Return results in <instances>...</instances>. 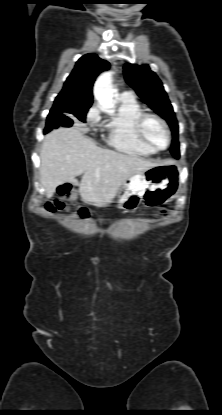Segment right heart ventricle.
<instances>
[{"mask_svg":"<svg viewBox=\"0 0 222 415\" xmlns=\"http://www.w3.org/2000/svg\"><path fill=\"white\" fill-rule=\"evenodd\" d=\"M118 109L115 115L109 118L105 125V141L114 149L139 156H148L156 150L144 144L139 138L136 123L144 112L140 104L133 97L119 96Z\"/></svg>","mask_w":222,"mask_h":415,"instance_id":"right-heart-ventricle-1","label":"right heart ventricle"}]
</instances>
